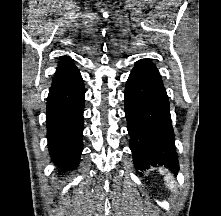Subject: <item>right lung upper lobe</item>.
<instances>
[{
    "instance_id": "1",
    "label": "right lung upper lobe",
    "mask_w": 221,
    "mask_h": 216,
    "mask_svg": "<svg viewBox=\"0 0 221 216\" xmlns=\"http://www.w3.org/2000/svg\"><path fill=\"white\" fill-rule=\"evenodd\" d=\"M76 70L78 69L74 64L73 59H71L68 56H62L60 62L58 63V67L54 75V78H58Z\"/></svg>"
}]
</instances>
